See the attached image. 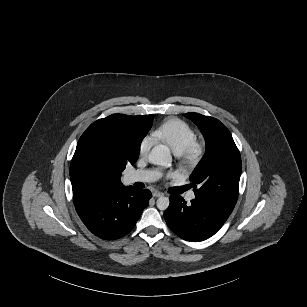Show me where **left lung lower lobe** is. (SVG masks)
<instances>
[{"instance_id": "left-lung-lower-lobe-1", "label": "left lung lower lobe", "mask_w": 307, "mask_h": 307, "mask_svg": "<svg viewBox=\"0 0 307 307\" xmlns=\"http://www.w3.org/2000/svg\"><path fill=\"white\" fill-rule=\"evenodd\" d=\"M230 214L197 199L186 204L181 196H170V205L164 212L168 227L187 241L198 242L214 235Z\"/></svg>"}]
</instances>
